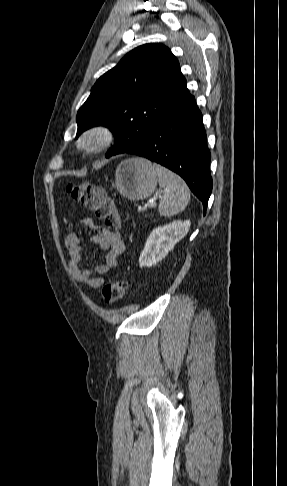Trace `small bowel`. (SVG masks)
<instances>
[{
	"mask_svg": "<svg viewBox=\"0 0 287 486\" xmlns=\"http://www.w3.org/2000/svg\"><path fill=\"white\" fill-rule=\"evenodd\" d=\"M77 223L88 228L96 227L93 220L88 217H80ZM93 244L106 250L104 262L93 269L82 268L84 252L82 240L75 233H69L65 238V246L68 251V268L73 280L87 284L91 288H99L104 283L103 275L118 265V258L125 250V244L120 233L103 229L92 237Z\"/></svg>",
	"mask_w": 287,
	"mask_h": 486,
	"instance_id": "obj_1",
	"label": "small bowel"
}]
</instances>
